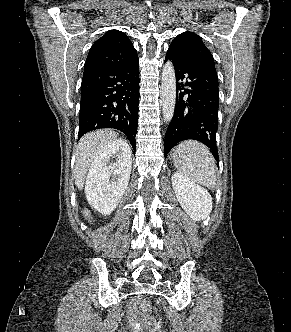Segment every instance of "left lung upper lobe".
<instances>
[{"mask_svg": "<svg viewBox=\"0 0 291 332\" xmlns=\"http://www.w3.org/2000/svg\"><path fill=\"white\" fill-rule=\"evenodd\" d=\"M170 49L176 54L186 59L195 60L206 57L213 60V56L202 38L193 32H184L179 34L171 43Z\"/></svg>", "mask_w": 291, "mask_h": 332, "instance_id": "1", "label": "left lung upper lobe"}]
</instances>
